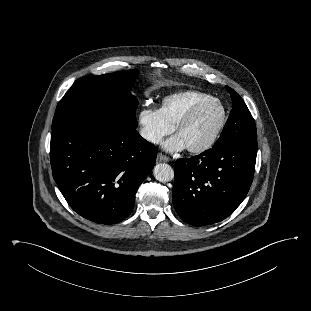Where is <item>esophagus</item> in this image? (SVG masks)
<instances>
[{"mask_svg":"<svg viewBox=\"0 0 311 311\" xmlns=\"http://www.w3.org/2000/svg\"><path fill=\"white\" fill-rule=\"evenodd\" d=\"M157 161L158 162H168L169 158L167 156L163 155L162 153H158Z\"/></svg>","mask_w":311,"mask_h":311,"instance_id":"1","label":"esophagus"}]
</instances>
